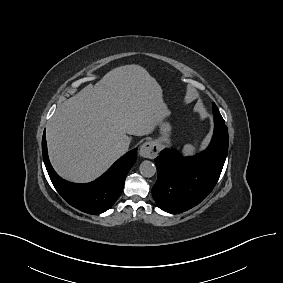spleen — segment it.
<instances>
[{
    "mask_svg": "<svg viewBox=\"0 0 283 283\" xmlns=\"http://www.w3.org/2000/svg\"><path fill=\"white\" fill-rule=\"evenodd\" d=\"M196 151V148L195 146H193L192 144H187L184 146V149H183V152L186 154V155H192L194 154Z\"/></svg>",
    "mask_w": 283,
    "mask_h": 283,
    "instance_id": "3e777b00",
    "label": "spleen"
}]
</instances>
